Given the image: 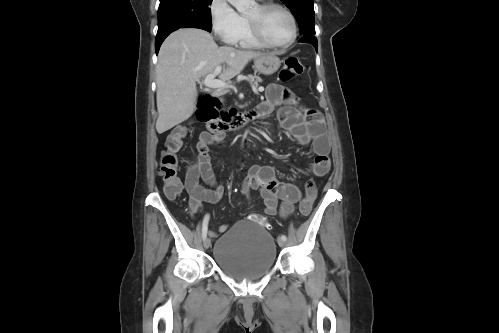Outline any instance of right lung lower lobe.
<instances>
[{"label":"right lung lower lobe","mask_w":499,"mask_h":333,"mask_svg":"<svg viewBox=\"0 0 499 333\" xmlns=\"http://www.w3.org/2000/svg\"><path fill=\"white\" fill-rule=\"evenodd\" d=\"M179 28H200V29H204L206 31H209L211 32V28L209 27H206V26H203V25H190V26H183V27H175V28H171L169 30H166L162 33H157V36H156V40H155V49H156V54H158V51H159V48H160V45L162 44V42L164 41V39L170 34L172 33L173 31L179 29Z\"/></svg>","instance_id":"1"}]
</instances>
